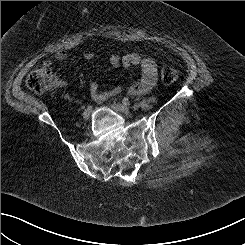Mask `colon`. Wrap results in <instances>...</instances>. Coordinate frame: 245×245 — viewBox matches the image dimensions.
Here are the masks:
<instances>
[{
	"instance_id": "5ec220e1",
	"label": "colon",
	"mask_w": 245,
	"mask_h": 245,
	"mask_svg": "<svg viewBox=\"0 0 245 245\" xmlns=\"http://www.w3.org/2000/svg\"><path fill=\"white\" fill-rule=\"evenodd\" d=\"M161 81L165 85H171L178 79V72L172 67H164L161 70ZM54 83V76L50 65H42L32 71L26 78L27 87L38 94L49 91Z\"/></svg>"
}]
</instances>
